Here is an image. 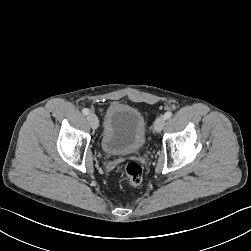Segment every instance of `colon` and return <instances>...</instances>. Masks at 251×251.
Here are the masks:
<instances>
[{"instance_id": "obj_1", "label": "colon", "mask_w": 251, "mask_h": 251, "mask_svg": "<svg viewBox=\"0 0 251 251\" xmlns=\"http://www.w3.org/2000/svg\"><path fill=\"white\" fill-rule=\"evenodd\" d=\"M105 114V107L99 106L96 109V115L102 116ZM124 180L131 185H138L143 179V169L141 165L135 161H131L125 165L122 170Z\"/></svg>"}]
</instances>
